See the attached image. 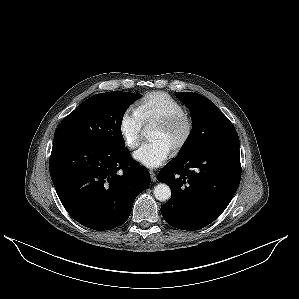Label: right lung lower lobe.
<instances>
[{"instance_id":"1","label":"right lung lower lobe","mask_w":299,"mask_h":299,"mask_svg":"<svg viewBox=\"0 0 299 299\" xmlns=\"http://www.w3.org/2000/svg\"><path fill=\"white\" fill-rule=\"evenodd\" d=\"M49 169L66 211L97 231L123 224L150 184L148 170L125 147L111 150L68 138L54 139Z\"/></svg>"}]
</instances>
